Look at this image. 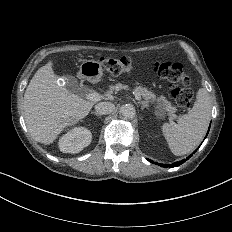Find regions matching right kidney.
<instances>
[{
  "label": "right kidney",
  "mask_w": 232,
  "mask_h": 232,
  "mask_svg": "<svg viewBox=\"0 0 232 232\" xmlns=\"http://www.w3.org/2000/svg\"><path fill=\"white\" fill-rule=\"evenodd\" d=\"M92 134L84 128H75L60 140V149L67 153H77L91 143Z\"/></svg>",
  "instance_id": "right-kidney-1"
}]
</instances>
